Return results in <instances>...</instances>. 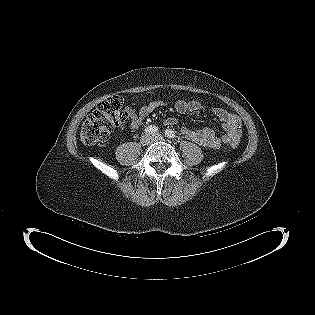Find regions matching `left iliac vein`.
Listing matches in <instances>:
<instances>
[{"mask_svg":"<svg viewBox=\"0 0 315 315\" xmlns=\"http://www.w3.org/2000/svg\"><path fill=\"white\" fill-rule=\"evenodd\" d=\"M152 142L164 141V137L161 134H155L151 137Z\"/></svg>","mask_w":315,"mask_h":315,"instance_id":"1","label":"left iliac vein"}]
</instances>
